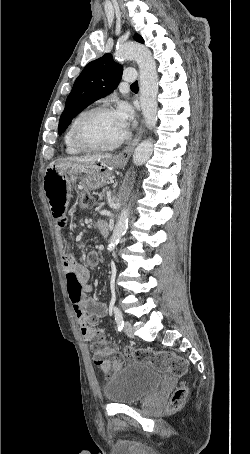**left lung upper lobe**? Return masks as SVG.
<instances>
[{"label": "left lung upper lobe", "instance_id": "5c2ea615", "mask_svg": "<svg viewBox=\"0 0 250 454\" xmlns=\"http://www.w3.org/2000/svg\"><path fill=\"white\" fill-rule=\"evenodd\" d=\"M134 39L143 43V38L135 34ZM122 66L115 63L111 54L88 63L74 82L67 97L65 109L59 120V134H62L71 120L85 107L113 91L121 78Z\"/></svg>", "mask_w": 250, "mask_h": 454}]
</instances>
